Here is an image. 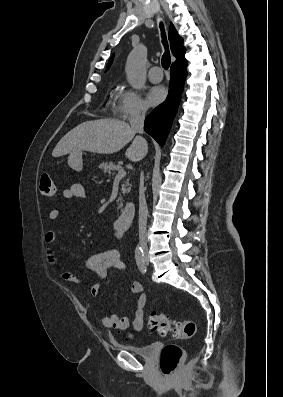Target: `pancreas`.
<instances>
[{
	"label": "pancreas",
	"mask_w": 283,
	"mask_h": 397,
	"mask_svg": "<svg viewBox=\"0 0 283 397\" xmlns=\"http://www.w3.org/2000/svg\"><path fill=\"white\" fill-rule=\"evenodd\" d=\"M99 168L104 172L107 173L109 176L114 174V171H118L119 169H121L122 167L119 165L114 164L113 162H103L100 164ZM130 191L129 187L123 186L122 188V193H128ZM122 197H119L117 202H118V206L119 208H121L123 206L122 202Z\"/></svg>",
	"instance_id": "pancreas-1"
}]
</instances>
